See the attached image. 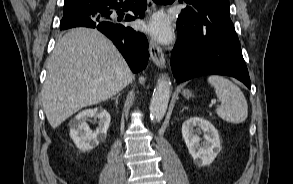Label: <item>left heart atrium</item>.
Wrapping results in <instances>:
<instances>
[{
  "instance_id": "1",
  "label": "left heart atrium",
  "mask_w": 293,
  "mask_h": 184,
  "mask_svg": "<svg viewBox=\"0 0 293 184\" xmlns=\"http://www.w3.org/2000/svg\"><path fill=\"white\" fill-rule=\"evenodd\" d=\"M148 30L160 40H167L171 34L170 27L163 17L154 18L148 25Z\"/></svg>"
}]
</instances>
